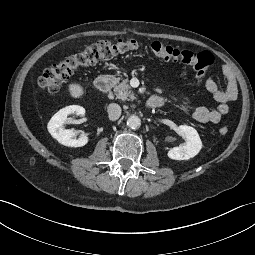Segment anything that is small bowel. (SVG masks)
<instances>
[{"label":"small bowel","mask_w":255,"mask_h":255,"mask_svg":"<svg viewBox=\"0 0 255 255\" xmlns=\"http://www.w3.org/2000/svg\"><path fill=\"white\" fill-rule=\"evenodd\" d=\"M222 72L226 81V89H221L216 81L207 77L203 82L204 87L219 103L216 108L205 106L193 107L191 101L185 96L178 99L179 106L196 122L212 124L221 122L229 112V103L237 98L238 87L233 70L229 66H223ZM154 97L159 100L160 105L164 104L167 100V96L164 94H157Z\"/></svg>","instance_id":"obj_1"}]
</instances>
